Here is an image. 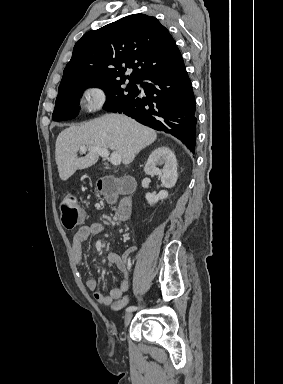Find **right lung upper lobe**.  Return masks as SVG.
Wrapping results in <instances>:
<instances>
[{
	"label": "right lung upper lobe",
	"instance_id": "obj_1",
	"mask_svg": "<svg viewBox=\"0 0 283 384\" xmlns=\"http://www.w3.org/2000/svg\"><path fill=\"white\" fill-rule=\"evenodd\" d=\"M184 66L176 42L155 17L133 14L84 34L60 86L113 79L140 82ZM132 68L130 76H124Z\"/></svg>",
	"mask_w": 283,
	"mask_h": 384
}]
</instances>
